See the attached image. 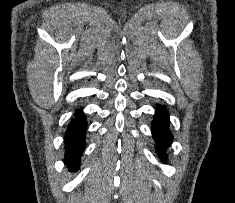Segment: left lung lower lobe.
I'll return each mask as SVG.
<instances>
[{"instance_id": "0a47b994", "label": "left lung lower lobe", "mask_w": 235, "mask_h": 203, "mask_svg": "<svg viewBox=\"0 0 235 203\" xmlns=\"http://www.w3.org/2000/svg\"><path fill=\"white\" fill-rule=\"evenodd\" d=\"M152 134L156 142L158 155L161 158H166V147L172 142V134L169 130V114L164 107L159 106L152 123Z\"/></svg>"}]
</instances>
